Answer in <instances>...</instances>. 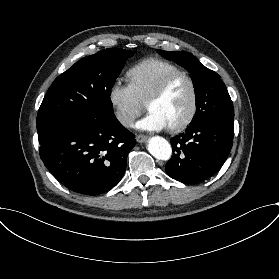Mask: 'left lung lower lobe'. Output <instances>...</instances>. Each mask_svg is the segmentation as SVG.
<instances>
[{"instance_id": "left-lung-lower-lobe-1", "label": "left lung lower lobe", "mask_w": 279, "mask_h": 279, "mask_svg": "<svg viewBox=\"0 0 279 279\" xmlns=\"http://www.w3.org/2000/svg\"><path fill=\"white\" fill-rule=\"evenodd\" d=\"M234 121L205 119L172 138L174 151L165 171L171 178L193 184L215 174L226 161L233 144Z\"/></svg>"}]
</instances>
